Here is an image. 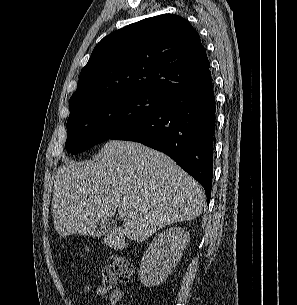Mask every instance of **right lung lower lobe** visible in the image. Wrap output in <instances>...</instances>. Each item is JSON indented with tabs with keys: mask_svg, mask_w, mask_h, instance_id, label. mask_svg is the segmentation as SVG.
Wrapping results in <instances>:
<instances>
[{
	"mask_svg": "<svg viewBox=\"0 0 297 305\" xmlns=\"http://www.w3.org/2000/svg\"><path fill=\"white\" fill-rule=\"evenodd\" d=\"M215 109L209 79L168 94L150 115L111 139L140 142L167 154L204 187L209 202Z\"/></svg>",
	"mask_w": 297,
	"mask_h": 305,
	"instance_id": "1",
	"label": "right lung lower lobe"
}]
</instances>
